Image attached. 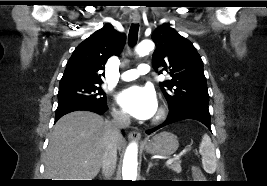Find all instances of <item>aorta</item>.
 Here are the masks:
<instances>
[{
    "label": "aorta",
    "instance_id": "762f6f07",
    "mask_svg": "<svg viewBox=\"0 0 267 186\" xmlns=\"http://www.w3.org/2000/svg\"><path fill=\"white\" fill-rule=\"evenodd\" d=\"M154 49V43L151 40H143L136 48V52L140 56L149 54ZM138 146L136 143H131L126 149L123 166L122 178L123 180L136 181L137 166H138Z\"/></svg>",
    "mask_w": 267,
    "mask_h": 186
}]
</instances>
